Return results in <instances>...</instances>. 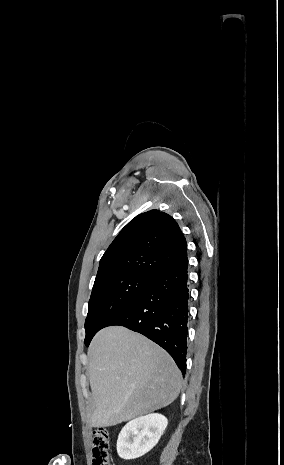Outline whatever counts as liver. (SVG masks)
<instances>
[{"label": "liver", "instance_id": "1", "mask_svg": "<svg viewBox=\"0 0 284 465\" xmlns=\"http://www.w3.org/2000/svg\"><path fill=\"white\" fill-rule=\"evenodd\" d=\"M91 427H112L177 399L182 375L161 347L124 327H107L88 349Z\"/></svg>", "mask_w": 284, "mask_h": 465}]
</instances>
